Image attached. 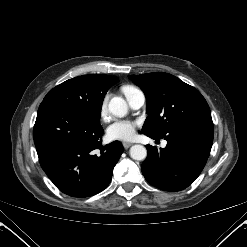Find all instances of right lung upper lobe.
I'll list each match as a JSON object with an SVG mask.
<instances>
[{"mask_svg": "<svg viewBox=\"0 0 247 247\" xmlns=\"http://www.w3.org/2000/svg\"><path fill=\"white\" fill-rule=\"evenodd\" d=\"M95 77L103 84L104 88L108 91L111 86H113L118 78L115 76L94 74Z\"/></svg>", "mask_w": 247, "mask_h": 247, "instance_id": "1", "label": "right lung upper lobe"}]
</instances>
